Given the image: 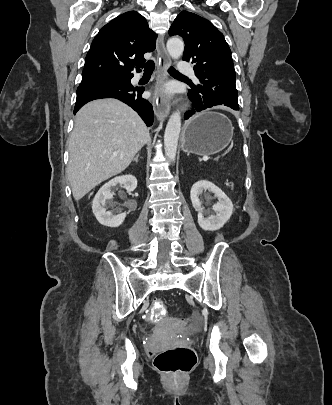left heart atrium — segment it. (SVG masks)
<instances>
[{
  "mask_svg": "<svg viewBox=\"0 0 332 405\" xmlns=\"http://www.w3.org/2000/svg\"><path fill=\"white\" fill-rule=\"evenodd\" d=\"M164 91V93L166 92V93H170L171 92V89L169 88V87H166L165 88V90H163Z\"/></svg>",
  "mask_w": 332,
  "mask_h": 405,
  "instance_id": "obj_1",
  "label": "left heart atrium"
}]
</instances>
